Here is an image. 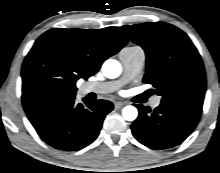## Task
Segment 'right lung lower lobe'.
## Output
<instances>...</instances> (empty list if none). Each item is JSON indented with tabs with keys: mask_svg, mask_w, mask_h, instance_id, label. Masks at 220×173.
Masks as SVG:
<instances>
[{
	"mask_svg": "<svg viewBox=\"0 0 220 173\" xmlns=\"http://www.w3.org/2000/svg\"><path fill=\"white\" fill-rule=\"evenodd\" d=\"M75 103V94L43 102L26 114L38 135L48 145L63 151H77L98 136L105 116L113 104L106 100L96 103L83 99Z\"/></svg>",
	"mask_w": 220,
	"mask_h": 173,
	"instance_id": "1",
	"label": "right lung lower lobe"
}]
</instances>
